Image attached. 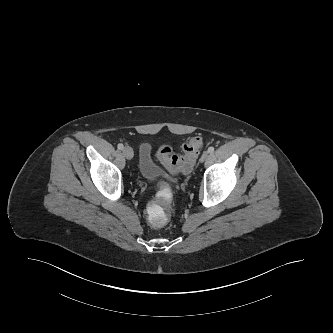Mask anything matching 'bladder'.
<instances>
[{"label": "bladder", "instance_id": "obj_1", "mask_svg": "<svg viewBox=\"0 0 333 333\" xmlns=\"http://www.w3.org/2000/svg\"><path fill=\"white\" fill-rule=\"evenodd\" d=\"M138 169L140 175L148 181H158L162 169L156 164L151 156V145L144 142L139 148Z\"/></svg>", "mask_w": 333, "mask_h": 333}]
</instances>
